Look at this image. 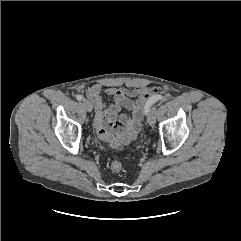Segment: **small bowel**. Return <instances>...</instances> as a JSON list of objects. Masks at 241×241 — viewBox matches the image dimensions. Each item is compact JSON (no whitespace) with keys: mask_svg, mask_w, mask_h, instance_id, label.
<instances>
[{"mask_svg":"<svg viewBox=\"0 0 241 241\" xmlns=\"http://www.w3.org/2000/svg\"><path fill=\"white\" fill-rule=\"evenodd\" d=\"M95 108L94 125L100 139L113 145L131 142L141 128L143 109L158 96L156 87L109 88L93 84L85 91ZM103 95L110 102L103 100ZM122 110L127 114L121 113Z\"/></svg>","mask_w":241,"mask_h":241,"instance_id":"small-bowel-1","label":"small bowel"}]
</instances>
